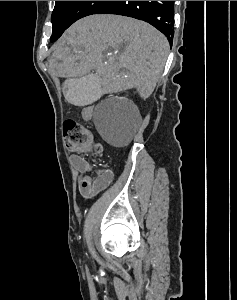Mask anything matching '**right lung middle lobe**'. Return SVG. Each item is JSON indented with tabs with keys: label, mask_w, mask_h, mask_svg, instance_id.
I'll list each match as a JSON object with an SVG mask.
<instances>
[{
	"label": "right lung middle lobe",
	"mask_w": 237,
	"mask_h": 300,
	"mask_svg": "<svg viewBox=\"0 0 237 300\" xmlns=\"http://www.w3.org/2000/svg\"><path fill=\"white\" fill-rule=\"evenodd\" d=\"M106 1H56L52 12V36L50 40H57L63 32L75 21L92 15Z\"/></svg>",
	"instance_id": "right-lung-middle-lobe-1"
}]
</instances>
